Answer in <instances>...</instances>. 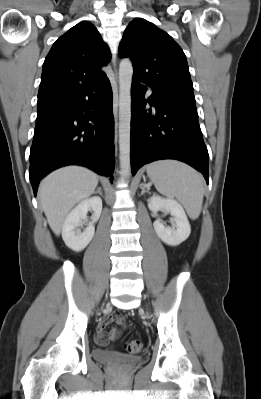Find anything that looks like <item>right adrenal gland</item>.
I'll return each instance as SVG.
<instances>
[{
    "mask_svg": "<svg viewBox=\"0 0 261 399\" xmlns=\"http://www.w3.org/2000/svg\"><path fill=\"white\" fill-rule=\"evenodd\" d=\"M95 193H99L102 196L103 194H102V191H101V187H98L97 191Z\"/></svg>",
    "mask_w": 261,
    "mask_h": 399,
    "instance_id": "2a0ac1e0",
    "label": "right adrenal gland"
}]
</instances>
